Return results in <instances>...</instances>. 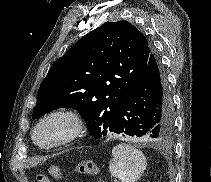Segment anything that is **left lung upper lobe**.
Wrapping results in <instances>:
<instances>
[{
	"label": "left lung upper lobe",
	"instance_id": "left-lung-upper-lobe-1",
	"mask_svg": "<svg viewBox=\"0 0 211 182\" xmlns=\"http://www.w3.org/2000/svg\"><path fill=\"white\" fill-rule=\"evenodd\" d=\"M151 53L146 37L129 22L102 24L53 63L39 87L32 117L72 108L95 138L105 136L113 131L118 109Z\"/></svg>",
	"mask_w": 211,
	"mask_h": 182
}]
</instances>
